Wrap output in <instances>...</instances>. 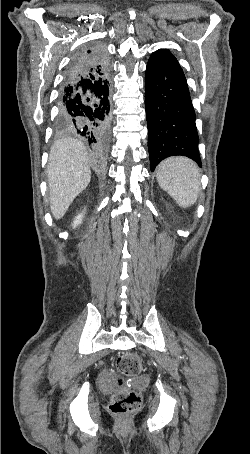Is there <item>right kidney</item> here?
<instances>
[{
  "mask_svg": "<svg viewBox=\"0 0 250 454\" xmlns=\"http://www.w3.org/2000/svg\"><path fill=\"white\" fill-rule=\"evenodd\" d=\"M82 219H83V213L78 214V216H76L73 221L72 227L76 228L78 225H80L82 223Z\"/></svg>",
  "mask_w": 250,
  "mask_h": 454,
  "instance_id": "1",
  "label": "right kidney"
}]
</instances>
